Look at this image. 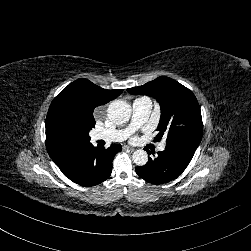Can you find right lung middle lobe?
Segmentation results:
<instances>
[{"label":"right lung middle lobe","instance_id":"right-lung-middle-lobe-1","mask_svg":"<svg viewBox=\"0 0 251 251\" xmlns=\"http://www.w3.org/2000/svg\"><path fill=\"white\" fill-rule=\"evenodd\" d=\"M69 123H68V121H66V120H61L60 122H59V125L61 126V127H65V126H67Z\"/></svg>","mask_w":251,"mask_h":251}]
</instances>
